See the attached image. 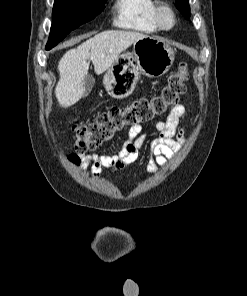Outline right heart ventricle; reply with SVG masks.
I'll use <instances>...</instances> for the list:
<instances>
[{
  "label": "right heart ventricle",
  "mask_w": 247,
  "mask_h": 296,
  "mask_svg": "<svg viewBox=\"0 0 247 296\" xmlns=\"http://www.w3.org/2000/svg\"><path fill=\"white\" fill-rule=\"evenodd\" d=\"M157 0H116L114 24L140 33H155L161 28L156 20Z\"/></svg>",
  "instance_id": "1"
}]
</instances>
